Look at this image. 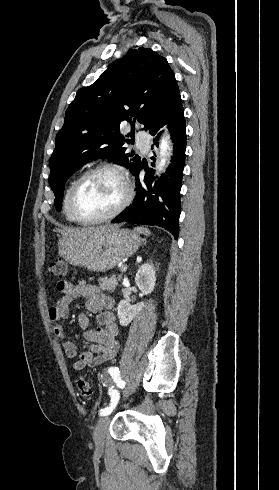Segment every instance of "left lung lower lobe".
I'll list each match as a JSON object with an SVG mask.
<instances>
[{"label": "left lung lower lobe", "mask_w": 279, "mask_h": 490, "mask_svg": "<svg viewBox=\"0 0 279 490\" xmlns=\"http://www.w3.org/2000/svg\"><path fill=\"white\" fill-rule=\"evenodd\" d=\"M168 124L174 143V152L165 174L154 185L151 172L146 174L143 182L139 179L141 169L147 167L140 161L132 173L136 178V196L133 204L120 213L112 223L129 222L143 225H156L168 230L175 239L179 234L180 189L182 185L183 168L185 165L186 133L185 117L181 98L178 97L167 109L161 119L153 123L148 131L157 140L160 125ZM153 148V146H152ZM155 161V158H152ZM154 166V164H152ZM150 179V180H149Z\"/></svg>", "instance_id": "1"}]
</instances>
